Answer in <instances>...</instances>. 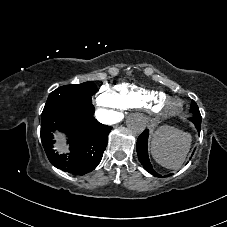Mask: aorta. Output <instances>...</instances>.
<instances>
[{"mask_svg": "<svg viewBox=\"0 0 227 227\" xmlns=\"http://www.w3.org/2000/svg\"><path fill=\"white\" fill-rule=\"evenodd\" d=\"M127 127L131 132L140 134L146 127V120L140 114H132L127 119Z\"/></svg>", "mask_w": 227, "mask_h": 227, "instance_id": "obj_1", "label": "aorta"}]
</instances>
